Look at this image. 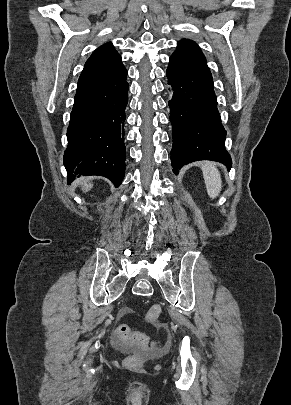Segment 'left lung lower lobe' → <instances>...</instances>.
Segmentation results:
<instances>
[{
    "label": "left lung lower lobe",
    "mask_w": 291,
    "mask_h": 405,
    "mask_svg": "<svg viewBox=\"0 0 291 405\" xmlns=\"http://www.w3.org/2000/svg\"><path fill=\"white\" fill-rule=\"evenodd\" d=\"M169 60L166 75L174 91L169 101L173 172L178 174V169L198 160L217 161L231 168L213 78L202 51L194 41L181 40Z\"/></svg>",
    "instance_id": "left-lung-lower-lobe-1"
}]
</instances>
